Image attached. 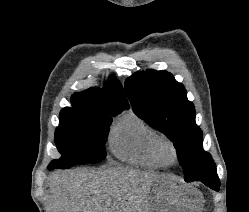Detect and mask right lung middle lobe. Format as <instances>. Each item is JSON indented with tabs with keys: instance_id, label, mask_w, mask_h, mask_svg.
Listing matches in <instances>:
<instances>
[{
	"instance_id": "1",
	"label": "right lung middle lobe",
	"mask_w": 249,
	"mask_h": 212,
	"mask_svg": "<svg viewBox=\"0 0 249 212\" xmlns=\"http://www.w3.org/2000/svg\"><path fill=\"white\" fill-rule=\"evenodd\" d=\"M121 112L78 106L64 108L55 131L56 146L62 157L53 160L48 167L65 169L103 161L106 157L105 139L112 117Z\"/></svg>"
}]
</instances>
